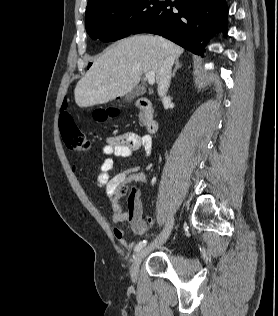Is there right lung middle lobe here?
<instances>
[{"label":"right lung middle lobe","mask_w":278,"mask_h":316,"mask_svg":"<svg viewBox=\"0 0 278 316\" xmlns=\"http://www.w3.org/2000/svg\"><path fill=\"white\" fill-rule=\"evenodd\" d=\"M159 6V0L107 1L86 12V31L104 42L122 39L149 20Z\"/></svg>","instance_id":"obj_1"}]
</instances>
